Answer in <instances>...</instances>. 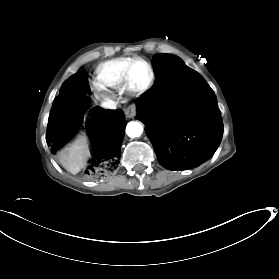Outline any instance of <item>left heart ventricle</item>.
Instances as JSON below:
<instances>
[{
  "label": "left heart ventricle",
  "mask_w": 279,
  "mask_h": 279,
  "mask_svg": "<svg viewBox=\"0 0 279 279\" xmlns=\"http://www.w3.org/2000/svg\"><path fill=\"white\" fill-rule=\"evenodd\" d=\"M150 77L149 68L145 63L137 62L131 71V82L136 87L144 86Z\"/></svg>",
  "instance_id": "1"
}]
</instances>
